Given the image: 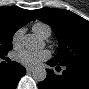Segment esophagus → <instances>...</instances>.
Returning <instances> with one entry per match:
<instances>
[{
    "label": "esophagus",
    "instance_id": "1",
    "mask_svg": "<svg viewBox=\"0 0 89 89\" xmlns=\"http://www.w3.org/2000/svg\"><path fill=\"white\" fill-rule=\"evenodd\" d=\"M26 71H27V73H31L33 71V69L31 67H27Z\"/></svg>",
    "mask_w": 89,
    "mask_h": 89
}]
</instances>
